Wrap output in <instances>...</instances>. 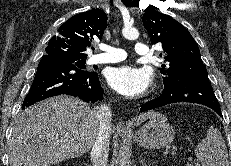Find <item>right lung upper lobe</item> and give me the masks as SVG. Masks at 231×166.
<instances>
[{
	"mask_svg": "<svg viewBox=\"0 0 231 166\" xmlns=\"http://www.w3.org/2000/svg\"><path fill=\"white\" fill-rule=\"evenodd\" d=\"M106 21L107 15L101 9L74 15L50 39L45 49L46 55L65 61L85 60L86 48L94 38L101 39L107 27Z\"/></svg>",
	"mask_w": 231,
	"mask_h": 166,
	"instance_id": "right-lung-upper-lobe-1",
	"label": "right lung upper lobe"
}]
</instances>
